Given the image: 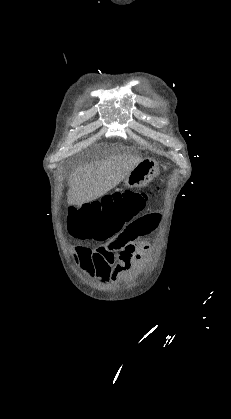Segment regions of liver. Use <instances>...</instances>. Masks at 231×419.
Masks as SVG:
<instances>
[{
    "instance_id": "liver-1",
    "label": "liver",
    "mask_w": 231,
    "mask_h": 419,
    "mask_svg": "<svg viewBox=\"0 0 231 419\" xmlns=\"http://www.w3.org/2000/svg\"><path fill=\"white\" fill-rule=\"evenodd\" d=\"M142 161L133 155H112L78 167L69 178L68 204L81 206L115 188Z\"/></svg>"
}]
</instances>
